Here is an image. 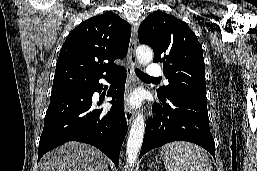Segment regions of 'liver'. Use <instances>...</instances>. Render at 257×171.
Returning <instances> with one entry per match:
<instances>
[{"instance_id":"1","label":"liver","mask_w":257,"mask_h":171,"mask_svg":"<svg viewBox=\"0 0 257 171\" xmlns=\"http://www.w3.org/2000/svg\"><path fill=\"white\" fill-rule=\"evenodd\" d=\"M107 159L98 149L68 142L43 156L38 171H106Z\"/></svg>"}]
</instances>
